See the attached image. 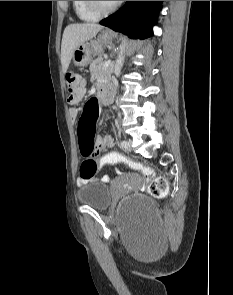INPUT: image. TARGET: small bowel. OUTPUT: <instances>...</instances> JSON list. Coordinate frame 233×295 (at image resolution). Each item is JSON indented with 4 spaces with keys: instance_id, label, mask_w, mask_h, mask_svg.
Returning a JSON list of instances; mask_svg holds the SVG:
<instances>
[{
    "instance_id": "small-bowel-1",
    "label": "small bowel",
    "mask_w": 233,
    "mask_h": 295,
    "mask_svg": "<svg viewBox=\"0 0 233 295\" xmlns=\"http://www.w3.org/2000/svg\"><path fill=\"white\" fill-rule=\"evenodd\" d=\"M84 95H85V92L76 98L69 97L68 102L71 105V108H70L71 118L76 119L78 117L79 108L77 105L83 100ZM87 112L91 113L95 117L96 122L99 120L100 111H99L98 103L95 99H91L90 101H88L86 103L84 110H83V114L87 113ZM97 146H98L99 150L109 149L113 146V140L109 136H104V137L98 138L97 139ZM102 180L105 182H109L110 179L108 176H104L102 178ZM86 181L87 180H85V179L79 178L77 180V184L80 186L83 183H85Z\"/></svg>"
}]
</instances>
